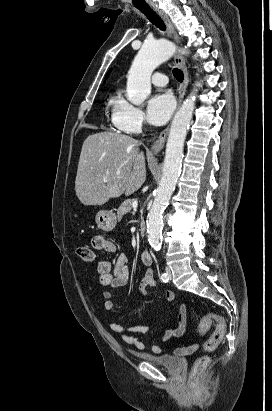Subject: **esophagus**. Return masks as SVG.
<instances>
[{
  "instance_id": "obj_1",
  "label": "esophagus",
  "mask_w": 272,
  "mask_h": 411,
  "mask_svg": "<svg viewBox=\"0 0 272 411\" xmlns=\"http://www.w3.org/2000/svg\"><path fill=\"white\" fill-rule=\"evenodd\" d=\"M152 9L154 10V12H156L160 18L164 21V23L166 24L169 33L171 35V37L173 38V40L176 42V44L180 43V40L178 38V35L176 34V31L174 29L173 24L171 23L170 19L168 18V16L162 11L160 10L157 6L153 5L151 6ZM175 63L176 65L183 71L184 74V80L180 86L179 89V97H178V108L180 107L182 100L185 96L186 93V89L189 83V75H188V71L187 68L185 66V60L184 57L181 54H177L175 56ZM170 130V125H168L159 135L158 140L154 143V145L151 148V152L154 154H158L164 147L165 142H166V138L168 136Z\"/></svg>"
}]
</instances>
